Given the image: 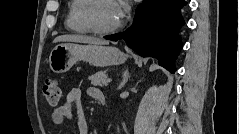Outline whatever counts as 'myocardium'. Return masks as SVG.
<instances>
[{
  "mask_svg": "<svg viewBox=\"0 0 239 134\" xmlns=\"http://www.w3.org/2000/svg\"><path fill=\"white\" fill-rule=\"evenodd\" d=\"M100 1L102 0H88L83 11V20L85 25L95 34H109L117 31L122 25L121 21L109 28H102L96 24L94 19V10Z\"/></svg>",
  "mask_w": 239,
  "mask_h": 134,
  "instance_id": "myocardium-1",
  "label": "myocardium"
}]
</instances>
